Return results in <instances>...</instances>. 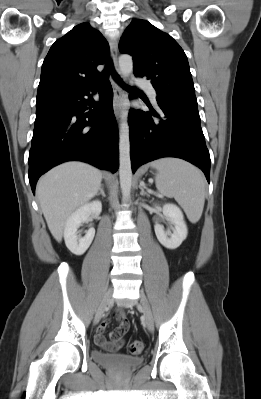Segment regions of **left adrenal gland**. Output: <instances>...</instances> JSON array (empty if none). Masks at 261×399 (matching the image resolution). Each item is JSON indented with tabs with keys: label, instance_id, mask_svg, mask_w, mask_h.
<instances>
[{
	"label": "left adrenal gland",
	"instance_id": "obj_1",
	"mask_svg": "<svg viewBox=\"0 0 261 399\" xmlns=\"http://www.w3.org/2000/svg\"><path fill=\"white\" fill-rule=\"evenodd\" d=\"M139 188H140V190H141V192H140V195H147V196H150V194L149 193H147L144 189L146 188L144 185H139Z\"/></svg>",
	"mask_w": 261,
	"mask_h": 399
}]
</instances>
